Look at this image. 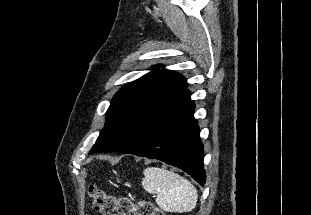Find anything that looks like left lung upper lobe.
<instances>
[{
    "label": "left lung upper lobe",
    "instance_id": "left-lung-upper-lobe-1",
    "mask_svg": "<svg viewBox=\"0 0 311 215\" xmlns=\"http://www.w3.org/2000/svg\"><path fill=\"white\" fill-rule=\"evenodd\" d=\"M152 69L113 96L105 127L89 154L121 150L157 112L187 89L181 74L157 67Z\"/></svg>",
    "mask_w": 311,
    "mask_h": 215
}]
</instances>
